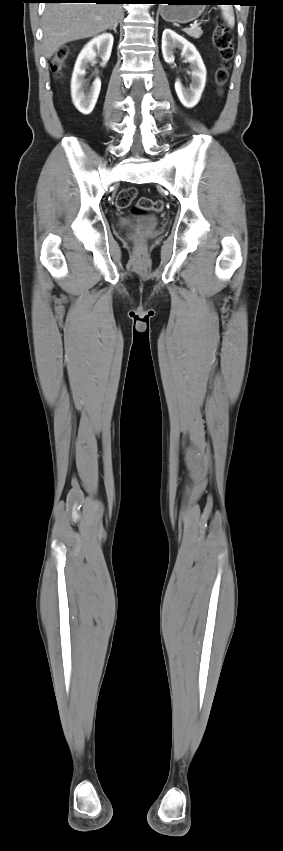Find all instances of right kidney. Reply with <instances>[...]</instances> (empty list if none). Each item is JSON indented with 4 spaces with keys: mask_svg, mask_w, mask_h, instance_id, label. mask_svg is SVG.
<instances>
[{
    "mask_svg": "<svg viewBox=\"0 0 283 851\" xmlns=\"http://www.w3.org/2000/svg\"><path fill=\"white\" fill-rule=\"evenodd\" d=\"M113 41L114 38L109 33L94 37L84 46L76 60L71 79V95L73 104L84 115L93 111L101 89L99 78H96L92 86L88 88L84 79L86 69L90 63L94 62L97 54L100 55L103 63L109 60Z\"/></svg>",
    "mask_w": 283,
    "mask_h": 851,
    "instance_id": "obj_1",
    "label": "right kidney"
}]
</instances>
